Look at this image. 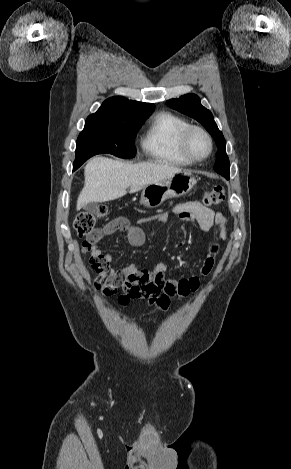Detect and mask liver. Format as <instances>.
Listing matches in <instances>:
<instances>
[{
  "label": "liver",
  "mask_w": 291,
  "mask_h": 469,
  "mask_svg": "<svg viewBox=\"0 0 291 469\" xmlns=\"http://www.w3.org/2000/svg\"><path fill=\"white\" fill-rule=\"evenodd\" d=\"M181 169L167 164L141 162L131 164L106 157H94L85 166V184L77 200V210L90 202H106L160 182Z\"/></svg>",
  "instance_id": "1"
}]
</instances>
